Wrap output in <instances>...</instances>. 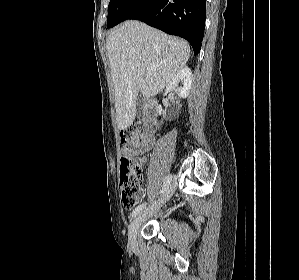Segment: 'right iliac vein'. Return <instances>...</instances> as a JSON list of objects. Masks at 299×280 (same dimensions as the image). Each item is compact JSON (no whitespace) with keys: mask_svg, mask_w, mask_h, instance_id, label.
Instances as JSON below:
<instances>
[{"mask_svg":"<svg viewBox=\"0 0 299 280\" xmlns=\"http://www.w3.org/2000/svg\"><path fill=\"white\" fill-rule=\"evenodd\" d=\"M176 189V181L174 180L168 189L163 193L161 198L150 208L145 209L142 211L130 224L129 232H128V242L132 249L137 247V232L142 223L150 216L152 213L164 205L173 195Z\"/></svg>","mask_w":299,"mask_h":280,"instance_id":"right-iliac-vein-1","label":"right iliac vein"}]
</instances>
